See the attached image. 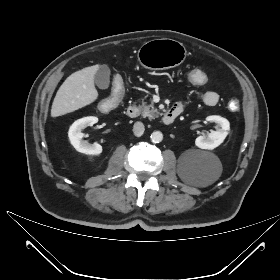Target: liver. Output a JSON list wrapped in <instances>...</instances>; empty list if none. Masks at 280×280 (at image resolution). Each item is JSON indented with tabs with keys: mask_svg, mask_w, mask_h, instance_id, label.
Instances as JSON below:
<instances>
[{
	"mask_svg": "<svg viewBox=\"0 0 280 280\" xmlns=\"http://www.w3.org/2000/svg\"><path fill=\"white\" fill-rule=\"evenodd\" d=\"M99 65L72 73L60 86L51 107V116L58 117L90 105L98 98L94 75Z\"/></svg>",
	"mask_w": 280,
	"mask_h": 280,
	"instance_id": "obj_1",
	"label": "liver"
}]
</instances>
